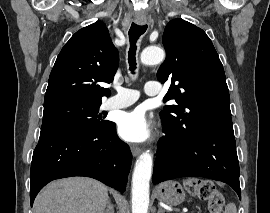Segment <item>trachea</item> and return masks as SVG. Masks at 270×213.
Masks as SVG:
<instances>
[{"instance_id": "3493384b", "label": "trachea", "mask_w": 270, "mask_h": 213, "mask_svg": "<svg viewBox=\"0 0 270 213\" xmlns=\"http://www.w3.org/2000/svg\"><path fill=\"white\" fill-rule=\"evenodd\" d=\"M147 30V25H137L132 23L130 30H129V40H130V50L128 52V62L130 66V71L134 73L136 69V42L139 37L145 33Z\"/></svg>"}]
</instances>
